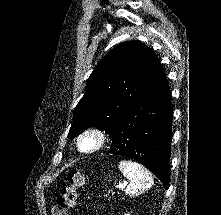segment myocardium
Listing matches in <instances>:
<instances>
[{"label":"myocardium","mask_w":221,"mask_h":215,"mask_svg":"<svg viewBox=\"0 0 221 215\" xmlns=\"http://www.w3.org/2000/svg\"><path fill=\"white\" fill-rule=\"evenodd\" d=\"M91 140L93 144L90 147H84V142ZM107 141L105 132L97 127H89L83 130L76 139L78 150L85 154H92L103 149Z\"/></svg>","instance_id":"obj_1"}]
</instances>
